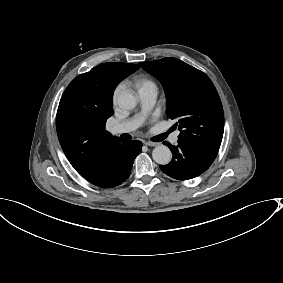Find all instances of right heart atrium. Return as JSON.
Wrapping results in <instances>:
<instances>
[{
	"label": "right heart atrium",
	"mask_w": 283,
	"mask_h": 283,
	"mask_svg": "<svg viewBox=\"0 0 283 283\" xmlns=\"http://www.w3.org/2000/svg\"><path fill=\"white\" fill-rule=\"evenodd\" d=\"M121 90H122V85L121 84H118V85H116L114 87L113 92H112V102L114 104H116L118 95L121 92Z\"/></svg>",
	"instance_id": "right-heart-atrium-1"
}]
</instances>
